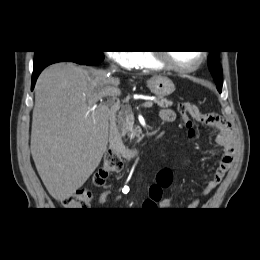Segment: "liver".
Returning a JSON list of instances; mask_svg holds the SVG:
<instances>
[{"label": "liver", "mask_w": 260, "mask_h": 260, "mask_svg": "<svg viewBox=\"0 0 260 260\" xmlns=\"http://www.w3.org/2000/svg\"><path fill=\"white\" fill-rule=\"evenodd\" d=\"M118 84L104 70L65 62L38 77L30 148L54 199L71 197L100 164L108 145L109 109L93 107Z\"/></svg>", "instance_id": "liver-1"}]
</instances>
